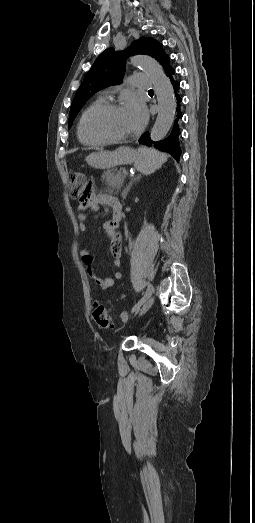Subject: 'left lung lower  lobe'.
Masks as SVG:
<instances>
[{"label": "left lung lower lobe", "mask_w": 255, "mask_h": 523, "mask_svg": "<svg viewBox=\"0 0 255 523\" xmlns=\"http://www.w3.org/2000/svg\"><path fill=\"white\" fill-rule=\"evenodd\" d=\"M168 81L172 83L173 91H180L181 85L178 80H176V77L170 76L168 78ZM172 97H175V109H176V118L173 120L172 128L169 129L168 137H164V140L157 138L153 140V137H151L152 130L150 128H147L144 132V137H139V144L142 146H148L150 149H153L154 147L159 149L160 153H173L172 160L174 162H180L182 160V157L180 156L181 149L179 144V134L181 133V130L179 129L178 121L180 119H183V109H180L181 103H183L181 95L178 94V92H175V94H172ZM172 140V141H171ZM163 147V148H162Z\"/></svg>", "instance_id": "obj_1"}]
</instances>
